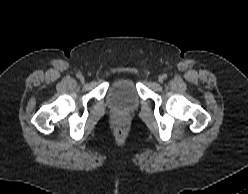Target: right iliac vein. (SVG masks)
Returning <instances> with one entry per match:
<instances>
[{"label":"right iliac vein","instance_id":"obj_1","mask_svg":"<svg viewBox=\"0 0 248 194\" xmlns=\"http://www.w3.org/2000/svg\"><path fill=\"white\" fill-rule=\"evenodd\" d=\"M80 80H81V81H84V77H83V76H81V77H80Z\"/></svg>","mask_w":248,"mask_h":194}]
</instances>
